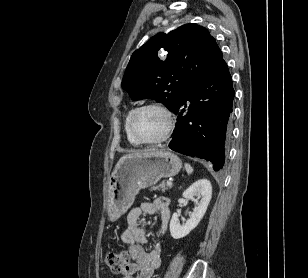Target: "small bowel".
Wrapping results in <instances>:
<instances>
[{
	"label": "small bowel",
	"instance_id": "c3829d8e",
	"mask_svg": "<svg viewBox=\"0 0 308 278\" xmlns=\"http://www.w3.org/2000/svg\"><path fill=\"white\" fill-rule=\"evenodd\" d=\"M169 204L168 198L159 197L129 211L127 228L122 232L121 240L127 245L130 261L122 272V278H153L161 263V244L157 241L150 252L145 250L143 245L147 236L140 219L142 215H158L161 221L159 235L162 236L170 218Z\"/></svg>",
	"mask_w": 308,
	"mask_h": 278
}]
</instances>
